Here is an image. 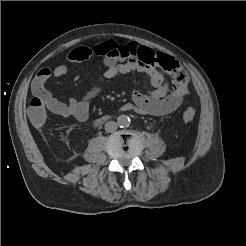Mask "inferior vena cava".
<instances>
[{"label":"inferior vena cava","instance_id":"obj_1","mask_svg":"<svg viewBox=\"0 0 246 246\" xmlns=\"http://www.w3.org/2000/svg\"><path fill=\"white\" fill-rule=\"evenodd\" d=\"M117 123L114 122V121H108L106 124H105V131L106 132H114L116 129H117Z\"/></svg>","mask_w":246,"mask_h":246}]
</instances>
